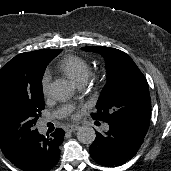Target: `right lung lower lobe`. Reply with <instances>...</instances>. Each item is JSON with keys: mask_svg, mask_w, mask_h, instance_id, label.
Listing matches in <instances>:
<instances>
[{"mask_svg": "<svg viewBox=\"0 0 171 171\" xmlns=\"http://www.w3.org/2000/svg\"><path fill=\"white\" fill-rule=\"evenodd\" d=\"M64 135L60 128L47 137L37 133L9 160L23 171H49L59 160Z\"/></svg>", "mask_w": 171, "mask_h": 171, "instance_id": "1", "label": "right lung lower lobe"}]
</instances>
